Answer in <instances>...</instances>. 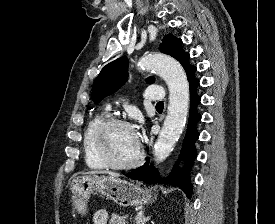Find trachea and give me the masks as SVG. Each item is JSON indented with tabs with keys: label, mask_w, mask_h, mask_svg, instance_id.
I'll list each match as a JSON object with an SVG mask.
<instances>
[{
	"label": "trachea",
	"mask_w": 275,
	"mask_h": 224,
	"mask_svg": "<svg viewBox=\"0 0 275 224\" xmlns=\"http://www.w3.org/2000/svg\"><path fill=\"white\" fill-rule=\"evenodd\" d=\"M164 105V103L161 101V102H158L157 104H156V106H163Z\"/></svg>",
	"instance_id": "obj_1"
}]
</instances>
